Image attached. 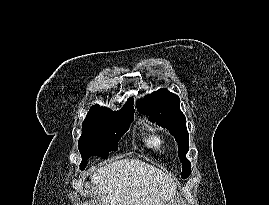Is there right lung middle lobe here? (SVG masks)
I'll return each instance as SVG.
<instances>
[{
	"label": "right lung middle lobe",
	"mask_w": 269,
	"mask_h": 205,
	"mask_svg": "<svg viewBox=\"0 0 269 205\" xmlns=\"http://www.w3.org/2000/svg\"><path fill=\"white\" fill-rule=\"evenodd\" d=\"M134 116L124 118H91L85 119L78 148L82 156L80 169L87 165L91 156L105 157L110 151L117 150V143L128 130Z\"/></svg>",
	"instance_id": "1"
}]
</instances>
